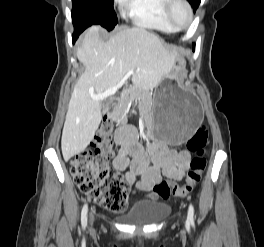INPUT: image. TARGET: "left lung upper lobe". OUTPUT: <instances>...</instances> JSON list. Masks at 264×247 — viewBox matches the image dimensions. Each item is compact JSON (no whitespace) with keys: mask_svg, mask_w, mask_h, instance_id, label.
Listing matches in <instances>:
<instances>
[{"mask_svg":"<svg viewBox=\"0 0 264 247\" xmlns=\"http://www.w3.org/2000/svg\"><path fill=\"white\" fill-rule=\"evenodd\" d=\"M189 3L192 5L193 9L196 10L201 2V0H188Z\"/></svg>","mask_w":264,"mask_h":247,"instance_id":"obj_1","label":"left lung upper lobe"}]
</instances>
